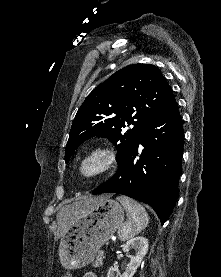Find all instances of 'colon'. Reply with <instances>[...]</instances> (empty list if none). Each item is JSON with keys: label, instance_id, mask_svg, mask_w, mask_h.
<instances>
[{"label": "colon", "instance_id": "obj_1", "mask_svg": "<svg viewBox=\"0 0 221 277\" xmlns=\"http://www.w3.org/2000/svg\"><path fill=\"white\" fill-rule=\"evenodd\" d=\"M63 277H72L70 274H66Z\"/></svg>", "mask_w": 221, "mask_h": 277}]
</instances>
